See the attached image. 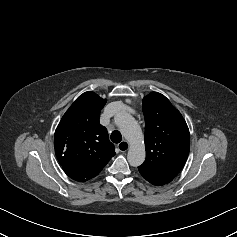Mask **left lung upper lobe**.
Returning <instances> with one entry per match:
<instances>
[{"instance_id": "5c2ea615", "label": "left lung upper lobe", "mask_w": 237, "mask_h": 237, "mask_svg": "<svg viewBox=\"0 0 237 237\" xmlns=\"http://www.w3.org/2000/svg\"><path fill=\"white\" fill-rule=\"evenodd\" d=\"M146 160L139 169L173 179L184 166L190 150V134L181 113L162 94L143 98Z\"/></svg>"}]
</instances>
